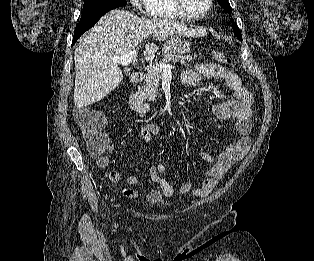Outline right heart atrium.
<instances>
[{"mask_svg":"<svg viewBox=\"0 0 314 261\" xmlns=\"http://www.w3.org/2000/svg\"><path fill=\"white\" fill-rule=\"evenodd\" d=\"M134 9L137 11H147L150 0H130Z\"/></svg>","mask_w":314,"mask_h":261,"instance_id":"right-heart-atrium-1","label":"right heart atrium"}]
</instances>
